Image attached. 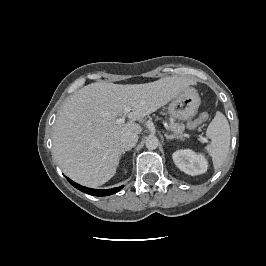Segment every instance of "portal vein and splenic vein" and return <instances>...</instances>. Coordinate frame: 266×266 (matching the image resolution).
<instances>
[{"mask_svg": "<svg viewBox=\"0 0 266 266\" xmlns=\"http://www.w3.org/2000/svg\"><path fill=\"white\" fill-rule=\"evenodd\" d=\"M131 111V108L130 107H126L122 114H120V117L116 119V124L118 125H121L125 122V119H126V116L128 115V113ZM164 126L165 128L168 130V131H171L170 127L164 123ZM184 137H189L190 135L189 134H183Z\"/></svg>", "mask_w": 266, "mask_h": 266, "instance_id": "obj_1", "label": "portal vein and splenic vein"}]
</instances>
